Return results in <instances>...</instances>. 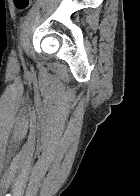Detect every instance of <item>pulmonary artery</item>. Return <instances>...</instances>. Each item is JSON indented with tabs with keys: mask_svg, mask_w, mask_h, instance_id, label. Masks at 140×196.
I'll list each match as a JSON object with an SVG mask.
<instances>
[{
	"mask_svg": "<svg viewBox=\"0 0 140 196\" xmlns=\"http://www.w3.org/2000/svg\"><path fill=\"white\" fill-rule=\"evenodd\" d=\"M43 192H54V191H43Z\"/></svg>",
	"mask_w": 140,
	"mask_h": 196,
	"instance_id": "e3ab8cb5",
	"label": "pulmonary artery"
}]
</instances>
